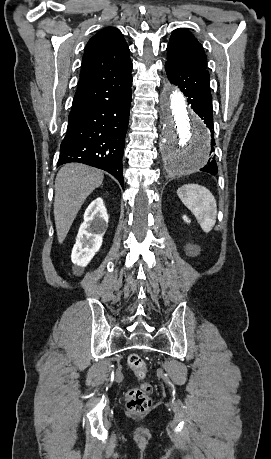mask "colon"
I'll return each mask as SVG.
<instances>
[{"mask_svg":"<svg viewBox=\"0 0 271 459\" xmlns=\"http://www.w3.org/2000/svg\"><path fill=\"white\" fill-rule=\"evenodd\" d=\"M128 366L132 373L142 381L139 387L131 388L126 393V404L130 412L141 414L147 411L151 406L152 387L144 379L147 375V366L145 361L138 354H131L128 357Z\"/></svg>","mask_w":271,"mask_h":459,"instance_id":"1","label":"colon"}]
</instances>
